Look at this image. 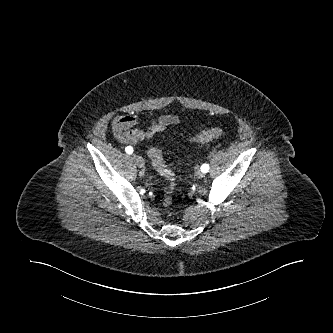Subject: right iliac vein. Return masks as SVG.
<instances>
[{
    "instance_id": "right-iliac-vein-1",
    "label": "right iliac vein",
    "mask_w": 333,
    "mask_h": 333,
    "mask_svg": "<svg viewBox=\"0 0 333 333\" xmlns=\"http://www.w3.org/2000/svg\"><path fill=\"white\" fill-rule=\"evenodd\" d=\"M132 158L134 159V161L138 167H144L145 162L142 157H140L136 154H133Z\"/></svg>"
}]
</instances>
